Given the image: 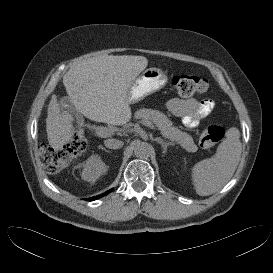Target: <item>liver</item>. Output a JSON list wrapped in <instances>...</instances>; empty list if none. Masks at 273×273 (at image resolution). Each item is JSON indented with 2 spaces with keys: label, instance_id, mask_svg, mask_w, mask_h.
<instances>
[{
  "label": "liver",
  "instance_id": "liver-1",
  "mask_svg": "<svg viewBox=\"0 0 273 273\" xmlns=\"http://www.w3.org/2000/svg\"><path fill=\"white\" fill-rule=\"evenodd\" d=\"M144 56L101 55L73 65L63 84L75 108L86 118L111 125H124L132 117L128 89L147 67ZM46 118L49 145L61 150L73 138L74 117L61 111L57 96L51 97Z\"/></svg>",
  "mask_w": 273,
  "mask_h": 273
}]
</instances>
